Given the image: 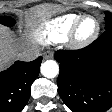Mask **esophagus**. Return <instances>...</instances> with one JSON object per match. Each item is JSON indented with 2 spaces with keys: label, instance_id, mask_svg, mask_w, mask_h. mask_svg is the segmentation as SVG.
<instances>
[{
  "label": "esophagus",
  "instance_id": "esophagus-1",
  "mask_svg": "<svg viewBox=\"0 0 112 112\" xmlns=\"http://www.w3.org/2000/svg\"><path fill=\"white\" fill-rule=\"evenodd\" d=\"M44 58H45V59L53 58V53H52V52H45V53H44Z\"/></svg>",
  "mask_w": 112,
  "mask_h": 112
}]
</instances>
